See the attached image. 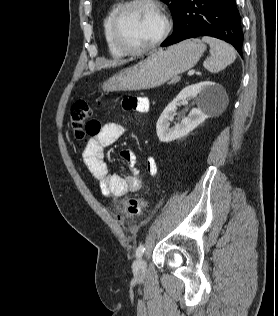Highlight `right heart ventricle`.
<instances>
[{
    "label": "right heart ventricle",
    "mask_w": 278,
    "mask_h": 316,
    "mask_svg": "<svg viewBox=\"0 0 278 316\" xmlns=\"http://www.w3.org/2000/svg\"><path fill=\"white\" fill-rule=\"evenodd\" d=\"M121 4L122 3L120 0L112 1L107 7L101 21L102 33H103L108 51L110 55L114 58H121L125 55V53L121 51L115 44L113 36H112V29H111L113 16L115 12L117 11V9L121 6Z\"/></svg>",
    "instance_id": "right-heart-ventricle-1"
}]
</instances>
